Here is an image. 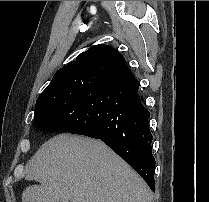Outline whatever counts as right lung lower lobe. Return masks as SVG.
<instances>
[{
    "instance_id": "obj_1",
    "label": "right lung lower lobe",
    "mask_w": 209,
    "mask_h": 202,
    "mask_svg": "<svg viewBox=\"0 0 209 202\" xmlns=\"http://www.w3.org/2000/svg\"><path fill=\"white\" fill-rule=\"evenodd\" d=\"M138 88L127 65L91 78L78 109L62 129L102 140L155 191L150 113L141 103Z\"/></svg>"
}]
</instances>
